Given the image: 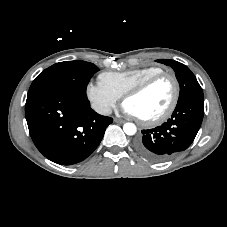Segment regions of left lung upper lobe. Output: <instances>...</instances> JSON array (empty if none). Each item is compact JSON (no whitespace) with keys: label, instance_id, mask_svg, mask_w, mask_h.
Segmentation results:
<instances>
[{"label":"left lung upper lobe","instance_id":"5c2ea615","mask_svg":"<svg viewBox=\"0 0 227 227\" xmlns=\"http://www.w3.org/2000/svg\"><path fill=\"white\" fill-rule=\"evenodd\" d=\"M156 61L171 66L175 71L176 78L180 84L178 102L193 96L203 98L202 88L194 74L186 65L175 60L159 59Z\"/></svg>","mask_w":227,"mask_h":227}]
</instances>
